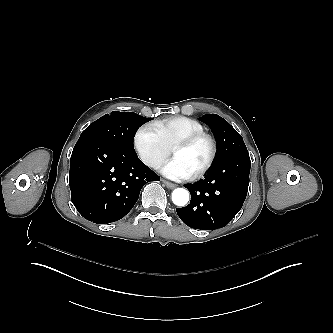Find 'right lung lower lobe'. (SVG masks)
Here are the masks:
<instances>
[{"mask_svg":"<svg viewBox=\"0 0 333 333\" xmlns=\"http://www.w3.org/2000/svg\"><path fill=\"white\" fill-rule=\"evenodd\" d=\"M160 177L136 155L94 137L76 143L70 163L71 200L94 223L123 218L137 202L141 188Z\"/></svg>","mask_w":333,"mask_h":333,"instance_id":"98d812e1","label":"right lung lower lobe"}]
</instances>
